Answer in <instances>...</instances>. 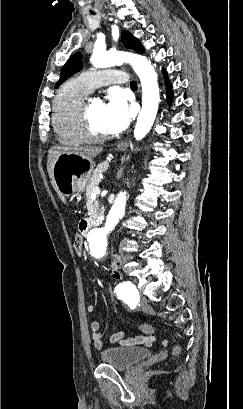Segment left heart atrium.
<instances>
[{
    "mask_svg": "<svg viewBox=\"0 0 243 409\" xmlns=\"http://www.w3.org/2000/svg\"><path fill=\"white\" fill-rule=\"evenodd\" d=\"M131 110L126 101L117 94L111 96L103 111V124L106 134L123 131L129 124Z\"/></svg>",
    "mask_w": 243,
    "mask_h": 409,
    "instance_id": "39dd6f15",
    "label": "left heart atrium"
}]
</instances>
